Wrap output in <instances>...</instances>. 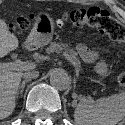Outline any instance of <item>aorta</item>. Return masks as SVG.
Wrapping results in <instances>:
<instances>
[{
    "label": "aorta",
    "mask_w": 125,
    "mask_h": 125,
    "mask_svg": "<svg viewBox=\"0 0 125 125\" xmlns=\"http://www.w3.org/2000/svg\"><path fill=\"white\" fill-rule=\"evenodd\" d=\"M51 85L57 90H66L71 84L68 74L60 69H56L50 76Z\"/></svg>",
    "instance_id": "1"
}]
</instances>
